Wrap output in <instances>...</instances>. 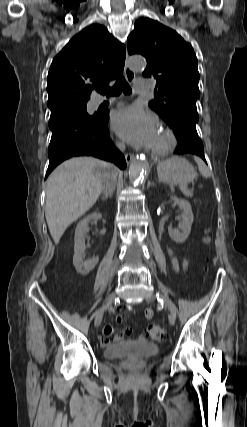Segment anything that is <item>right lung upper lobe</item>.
Returning <instances> with one entry per match:
<instances>
[{
	"mask_svg": "<svg viewBox=\"0 0 247 427\" xmlns=\"http://www.w3.org/2000/svg\"><path fill=\"white\" fill-rule=\"evenodd\" d=\"M126 49L102 25L75 35L54 58L47 78L51 113L86 105L96 88H108L124 68Z\"/></svg>",
	"mask_w": 247,
	"mask_h": 427,
	"instance_id": "right-lung-upper-lobe-1",
	"label": "right lung upper lobe"
}]
</instances>
